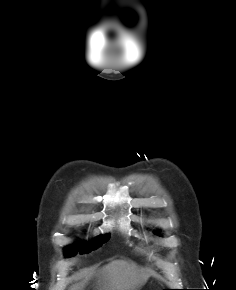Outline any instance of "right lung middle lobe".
Instances as JSON below:
<instances>
[{
	"label": "right lung middle lobe",
	"mask_w": 236,
	"mask_h": 290,
	"mask_svg": "<svg viewBox=\"0 0 236 290\" xmlns=\"http://www.w3.org/2000/svg\"><path fill=\"white\" fill-rule=\"evenodd\" d=\"M110 238V235H106V236H101L100 237V242L101 243H104L106 241H108ZM79 251L76 247H68L65 249V254L67 256H73L76 254V252Z\"/></svg>",
	"instance_id": "dd1d6c3e"
}]
</instances>
